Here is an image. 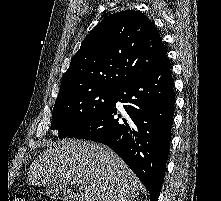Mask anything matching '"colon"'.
Returning <instances> with one entry per match:
<instances>
[{
  "instance_id": "obj_1",
  "label": "colon",
  "mask_w": 221,
  "mask_h": 201,
  "mask_svg": "<svg viewBox=\"0 0 221 201\" xmlns=\"http://www.w3.org/2000/svg\"><path fill=\"white\" fill-rule=\"evenodd\" d=\"M12 201H26L22 195L16 196L12 199Z\"/></svg>"
}]
</instances>
